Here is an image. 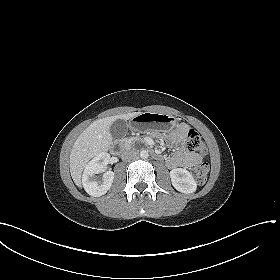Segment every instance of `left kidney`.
Returning a JSON list of instances; mask_svg holds the SVG:
<instances>
[{"label": "left kidney", "instance_id": "left-kidney-1", "mask_svg": "<svg viewBox=\"0 0 280 280\" xmlns=\"http://www.w3.org/2000/svg\"><path fill=\"white\" fill-rule=\"evenodd\" d=\"M172 185L179 192L190 194L196 191L197 184L192 174L183 168H176L170 171Z\"/></svg>", "mask_w": 280, "mask_h": 280}]
</instances>
